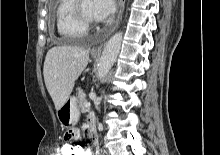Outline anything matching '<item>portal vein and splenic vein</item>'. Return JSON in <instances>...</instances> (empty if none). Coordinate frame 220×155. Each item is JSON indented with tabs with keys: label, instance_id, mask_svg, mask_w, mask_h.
<instances>
[{
	"label": "portal vein and splenic vein",
	"instance_id": "portal-vein-and-splenic-vein-1",
	"mask_svg": "<svg viewBox=\"0 0 220 155\" xmlns=\"http://www.w3.org/2000/svg\"><path fill=\"white\" fill-rule=\"evenodd\" d=\"M90 106H91V103H90V102H86V103H85V107H86V108H88V107H90Z\"/></svg>",
	"mask_w": 220,
	"mask_h": 155
}]
</instances>
